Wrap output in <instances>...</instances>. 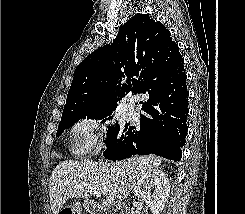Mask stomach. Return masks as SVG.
Wrapping results in <instances>:
<instances>
[{
  "label": "stomach",
  "mask_w": 245,
  "mask_h": 214,
  "mask_svg": "<svg viewBox=\"0 0 245 214\" xmlns=\"http://www.w3.org/2000/svg\"><path fill=\"white\" fill-rule=\"evenodd\" d=\"M72 214H81V206L79 203H74L71 207Z\"/></svg>",
  "instance_id": "stomach-1"
}]
</instances>
